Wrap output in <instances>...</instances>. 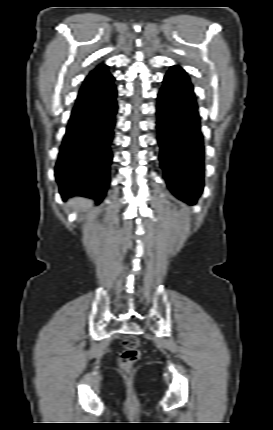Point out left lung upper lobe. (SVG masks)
<instances>
[{"instance_id":"1","label":"left lung upper lobe","mask_w":273,"mask_h":430,"mask_svg":"<svg viewBox=\"0 0 273 430\" xmlns=\"http://www.w3.org/2000/svg\"><path fill=\"white\" fill-rule=\"evenodd\" d=\"M175 67H176V68H179V69H181V70H183L180 66H177V65H176V66H172L171 68H175ZM187 83H188L190 86H192V85H191V83H190L189 78H187Z\"/></svg>"}]
</instances>
